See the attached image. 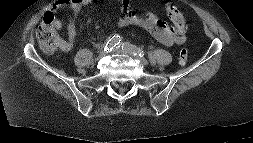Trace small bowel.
Masks as SVG:
<instances>
[{
  "instance_id": "c3829d8e",
  "label": "small bowel",
  "mask_w": 253,
  "mask_h": 143,
  "mask_svg": "<svg viewBox=\"0 0 253 143\" xmlns=\"http://www.w3.org/2000/svg\"><path fill=\"white\" fill-rule=\"evenodd\" d=\"M101 1L102 0H56L52 7L53 12L59 13L62 9L68 8L72 13V17L67 25L68 39L60 42V47L63 51H69L73 47L77 36V20L80 12L84 8ZM119 1L121 15L117 19L118 26H140L147 30L157 41L166 46H172L174 44L180 45L185 42V28L181 29L178 27L174 17V10L178 9L171 3L166 5V11L174 24V28H171L166 21L158 18L156 14L152 12H148L144 15L132 12L130 10V0ZM178 12L185 24L183 15L179 10ZM54 26L57 29L62 27V22L59 18L54 20Z\"/></svg>"
}]
</instances>
